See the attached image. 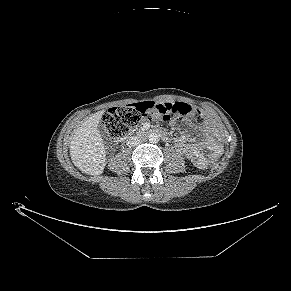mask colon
<instances>
[{
    "instance_id": "5ec220e1",
    "label": "colon",
    "mask_w": 291,
    "mask_h": 291,
    "mask_svg": "<svg viewBox=\"0 0 291 291\" xmlns=\"http://www.w3.org/2000/svg\"><path fill=\"white\" fill-rule=\"evenodd\" d=\"M200 112L187 103H158L142 102L125 107H115L107 110L103 115L105 132L112 138H122L130 130L137 127L143 120L154 118L168 119L170 116L197 117ZM217 164V157L211 156L208 165Z\"/></svg>"
}]
</instances>
